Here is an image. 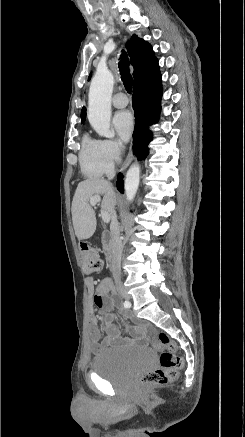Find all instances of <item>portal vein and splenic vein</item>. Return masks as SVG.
I'll list each match as a JSON object with an SVG mask.
<instances>
[{"label":"portal vein and splenic vein","instance_id":"obj_1","mask_svg":"<svg viewBox=\"0 0 245 437\" xmlns=\"http://www.w3.org/2000/svg\"><path fill=\"white\" fill-rule=\"evenodd\" d=\"M101 201L100 196H94L90 198V204L92 206H95L97 203H99ZM101 217L102 220L106 223L110 222V215L108 212L101 210Z\"/></svg>","mask_w":245,"mask_h":437}]
</instances>
